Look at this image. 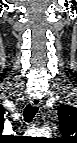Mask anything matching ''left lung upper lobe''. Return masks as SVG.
<instances>
[{
  "mask_svg": "<svg viewBox=\"0 0 77 143\" xmlns=\"http://www.w3.org/2000/svg\"><path fill=\"white\" fill-rule=\"evenodd\" d=\"M60 128L64 143H71L77 138V109L65 105L58 109Z\"/></svg>",
  "mask_w": 77,
  "mask_h": 143,
  "instance_id": "obj_1",
  "label": "left lung upper lobe"
}]
</instances>
